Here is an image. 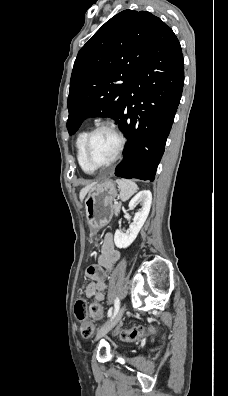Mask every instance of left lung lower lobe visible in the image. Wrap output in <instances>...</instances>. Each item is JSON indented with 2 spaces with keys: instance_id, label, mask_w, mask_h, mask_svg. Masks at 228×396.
<instances>
[{
  "instance_id": "obj_1",
  "label": "left lung lower lobe",
  "mask_w": 228,
  "mask_h": 396,
  "mask_svg": "<svg viewBox=\"0 0 228 396\" xmlns=\"http://www.w3.org/2000/svg\"><path fill=\"white\" fill-rule=\"evenodd\" d=\"M184 83L178 39L161 28L130 85L118 123L127 138L124 159L115 169L122 178L155 179Z\"/></svg>"
}]
</instances>
